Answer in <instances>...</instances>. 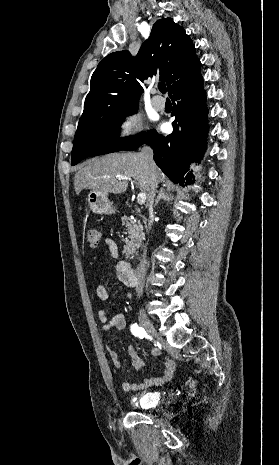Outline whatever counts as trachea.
<instances>
[{"instance_id": "obj_1", "label": "trachea", "mask_w": 279, "mask_h": 465, "mask_svg": "<svg viewBox=\"0 0 279 465\" xmlns=\"http://www.w3.org/2000/svg\"><path fill=\"white\" fill-rule=\"evenodd\" d=\"M158 88L161 93H166V86L164 83H159Z\"/></svg>"}]
</instances>
